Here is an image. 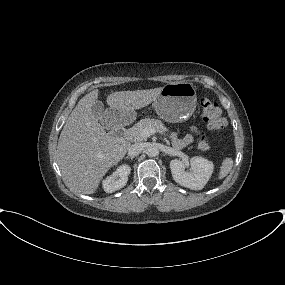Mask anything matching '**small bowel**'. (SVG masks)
<instances>
[{
	"mask_svg": "<svg viewBox=\"0 0 285 285\" xmlns=\"http://www.w3.org/2000/svg\"><path fill=\"white\" fill-rule=\"evenodd\" d=\"M200 135V130L197 127H192L190 133L183 137H179L176 132L171 133L170 138L176 148H184L192 143L195 136Z\"/></svg>",
	"mask_w": 285,
	"mask_h": 285,
	"instance_id": "small-bowel-1",
	"label": "small bowel"
}]
</instances>
